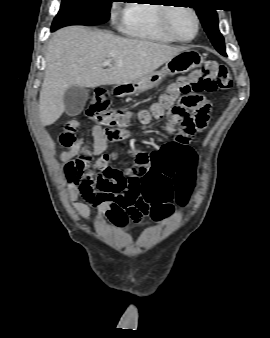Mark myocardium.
I'll list each match as a JSON object with an SVG mask.
<instances>
[{
  "label": "myocardium",
  "mask_w": 270,
  "mask_h": 338,
  "mask_svg": "<svg viewBox=\"0 0 270 338\" xmlns=\"http://www.w3.org/2000/svg\"><path fill=\"white\" fill-rule=\"evenodd\" d=\"M177 9H184L189 11L194 19H195V31L192 37L187 38V39H182L176 36V34L174 33L172 27H171V15L173 14L174 11H176ZM199 25H200V19L198 14L196 13V11L190 7H186L183 4H177V5H173L171 7H165L162 10V17H161V27L163 29V31L173 40L176 42H181V43H187V42H191L193 41L199 32Z\"/></svg>",
  "instance_id": "myocardium-1"
}]
</instances>
